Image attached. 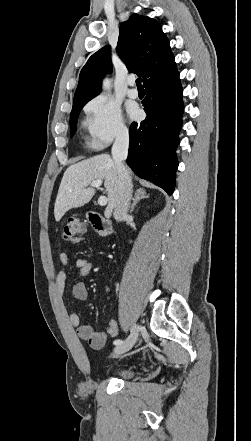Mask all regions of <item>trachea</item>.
<instances>
[{
  "mask_svg": "<svg viewBox=\"0 0 251 441\" xmlns=\"http://www.w3.org/2000/svg\"><path fill=\"white\" fill-rule=\"evenodd\" d=\"M136 85H137L138 88L143 87L142 84H141V78H137L136 79Z\"/></svg>",
  "mask_w": 251,
  "mask_h": 441,
  "instance_id": "3493384b",
  "label": "trachea"
}]
</instances>
